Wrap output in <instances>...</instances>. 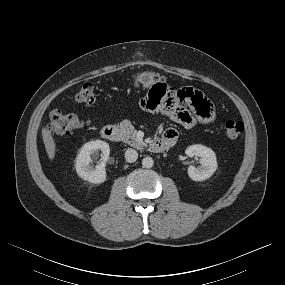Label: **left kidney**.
<instances>
[{"mask_svg": "<svg viewBox=\"0 0 285 285\" xmlns=\"http://www.w3.org/2000/svg\"><path fill=\"white\" fill-rule=\"evenodd\" d=\"M185 153L189 157L197 156L200 158L201 167L189 166L188 175L194 181H203L210 178L217 169L216 155L213 150L201 144L191 145Z\"/></svg>", "mask_w": 285, "mask_h": 285, "instance_id": "1", "label": "left kidney"}]
</instances>
